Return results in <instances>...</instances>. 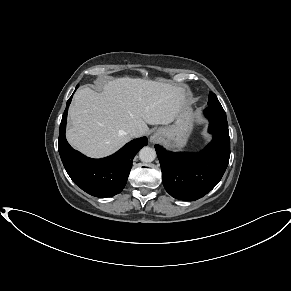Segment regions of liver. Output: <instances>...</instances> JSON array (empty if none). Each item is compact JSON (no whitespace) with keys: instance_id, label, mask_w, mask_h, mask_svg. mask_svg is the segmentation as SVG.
Listing matches in <instances>:
<instances>
[{"instance_id":"obj_1","label":"liver","mask_w":291,"mask_h":291,"mask_svg":"<svg viewBox=\"0 0 291 291\" xmlns=\"http://www.w3.org/2000/svg\"><path fill=\"white\" fill-rule=\"evenodd\" d=\"M184 100L181 87L139 78L110 80L102 93L82 88L69 109L66 137L87 156H108L130 140L133 129L144 135L147 124L173 122Z\"/></svg>"}]
</instances>
